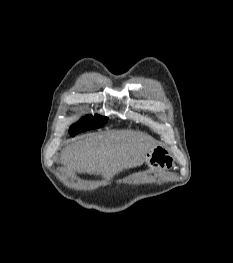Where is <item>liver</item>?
I'll use <instances>...</instances> for the list:
<instances>
[{
    "label": "liver",
    "instance_id": "obj_1",
    "mask_svg": "<svg viewBox=\"0 0 233 263\" xmlns=\"http://www.w3.org/2000/svg\"><path fill=\"white\" fill-rule=\"evenodd\" d=\"M154 145L151 137L139 131H110L74 142L61 157L69 170L102 175L108 180L123 169L141 166Z\"/></svg>",
    "mask_w": 233,
    "mask_h": 263
}]
</instances>
